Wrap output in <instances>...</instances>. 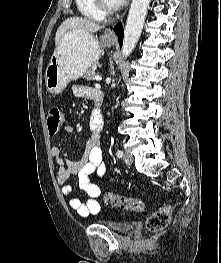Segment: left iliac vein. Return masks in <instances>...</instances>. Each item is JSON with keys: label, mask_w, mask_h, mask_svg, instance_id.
Wrapping results in <instances>:
<instances>
[{"label": "left iliac vein", "mask_w": 221, "mask_h": 263, "mask_svg": "<svg viewBox=\"0 0 221 263\" xmlns=\"http://www.w3.org/2000/svg\"><path fill=\"white\" fill-rule=\"evenodd\" d=\"M124 162L128 165H130L133 162V157L130 155V153L126 152L124 154Z\"/></svg>", "instance_id": "obj_1"}]
</instances>
